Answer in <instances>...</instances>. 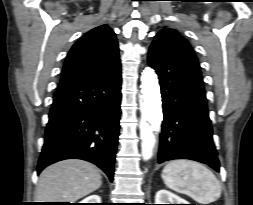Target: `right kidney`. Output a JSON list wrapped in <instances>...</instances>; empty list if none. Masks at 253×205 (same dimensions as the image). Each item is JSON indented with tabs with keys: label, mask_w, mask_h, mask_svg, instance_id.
<instances>
[{
	"label": "right kidney",
	"mask_w": 253,
	"mask_h": 205,
	"mask_svg": "<svg viewBox=\"0 0 253 205\" xmlns=\"http://www.w3.org/2000/svg\"><path fill=\"white\" fill-rule=\"evenodd\" d=\"M79 203H101V198L98 195H91V196L84 198Z\"/></svg>",
	"instance_id": "right-kidney-1"
}]
</instances>
